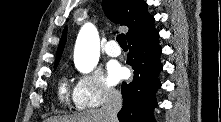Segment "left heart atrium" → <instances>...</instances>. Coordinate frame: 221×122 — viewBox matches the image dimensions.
Masks as SVG:
<instances>
[{
    "label": "left heart atrium",
    "instance_id": "1",
    "mask_svg": "<svg viewBox=\"0 0 221 122\" xmlns=\"http://www.w3.org/2000/svg\"><path fill=\"white\" fill-rule=\"evenodd\" d=\"M125 75V69L116 62H110L107 66V76L110 83L115 84Z\"/></svg>",
    "mask_w": 221,
    "mask_h": 122
}]
</instances>
